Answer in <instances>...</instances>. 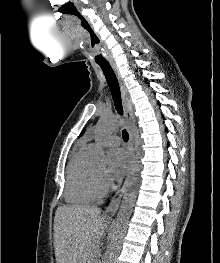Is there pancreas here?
I'll list each match as a JSON object with an SVG mask.
<instances>
[{
	"label": "pancreas",
	"instance_id": "obj_1",
	"mask_svg": "<svg viewBox=\"0 0 220 263\" xmlns=\"http://www.w3.org/2000/svg\"><path fill=\"white\" fill-rule=\"evenodd\" d=\"M97 253V248L95 247L93 250H92V255H95Z\"/></svg>",
	"mask_w": 220,
	"mask_h": 263
}]
</instances>
